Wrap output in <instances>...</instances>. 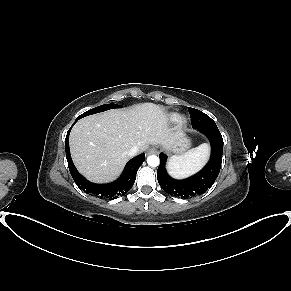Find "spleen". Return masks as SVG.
I'll return each mask as SVG.
<instances>
[{
    "instance_id": "obj_1",
    "label": "spleen",
    "mask_w": 291,
    "mask_h": 291,
    "mask_svg": "<svg viewBox=\"0 0 291 291\" xmlns=\"http://www.w3.org/2000/svg\"><path fill=\"white\" fill-rule=\"evenodd\" d=\"M209 157V145L204 143L179 156H172L167 162L168 173L176 178H186L199 171Z\"/></svg>"
}]
</instances>
